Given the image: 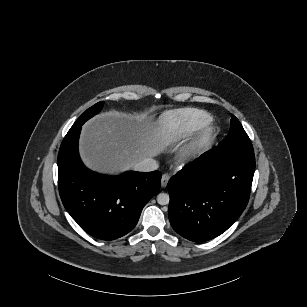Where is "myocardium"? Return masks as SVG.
Masks as SVG:
<instances>
[{
	"instance_id": "obj_1",
	"label": "myocardium",
	"mask_w": 307,
	"mask_h": 307,
	"mask_svg": "<svg viewBox=\"0 0 307 307\" xmlns=\"http://www.w3.org/2000/svg\"><path fill=\"white\" fill-rule=\"evenodd\" d=\"M215 130L216 127L207 129L198 137L174 149L168 157L184 159L192 165L198 163L204 157L208 142Z\"/></svg>"
}]
</instances>
